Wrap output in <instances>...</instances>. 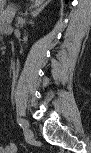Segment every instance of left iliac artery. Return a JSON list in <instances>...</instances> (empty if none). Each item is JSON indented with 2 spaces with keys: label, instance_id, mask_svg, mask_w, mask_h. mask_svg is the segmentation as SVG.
Returning a JSON list of instances; mask_svg holds the SVG:
<instances>
[{
  "label": "left iliac artery",
  "instance_id": "left-iliac-artery-1",
  "mask_svg": "<svg viewBox=\"0 0 91 153\" xmlns=\"http://www.w3.org/2000/svg\"><path fill=\"white\" fill-rule=\"evenodd\" d=\"M17 123L22 127V130H24V132H22V135H24V137H27V127L25 124V121L21 118H17Z\"/></svg>",
  "mask_w": 91,
  "mask_h": 153
}]
</instances>
